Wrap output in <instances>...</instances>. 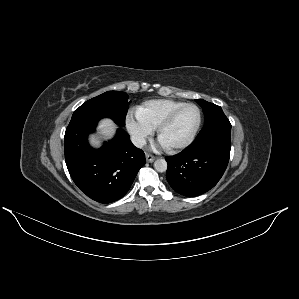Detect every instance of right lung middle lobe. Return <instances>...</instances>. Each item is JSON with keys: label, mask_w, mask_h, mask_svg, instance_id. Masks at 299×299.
Segmentation results:
<instances>
[{"label": "right lung middle lobe", "mask_w": 299, "mask_h": 299, "mask_svg": "<svg viewBox=\"0 0 299 299\" xmlns=\"http://www.w3.org/2000/svg\"><path fill=\"white\" fill-rule=\"evenodd\" d=\"M128 107V95L125 92L108 91L83 103L74 111L71 121L108 117L124 126Z\"/></svg>", "instance_id": "obj_1"}]
</instances>
